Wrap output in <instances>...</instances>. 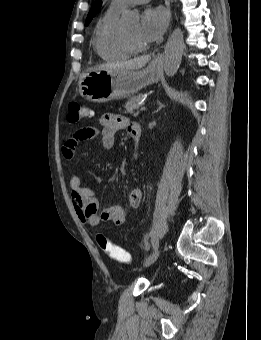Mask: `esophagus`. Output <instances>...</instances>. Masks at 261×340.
<instances>
[{"label":"esophagus","instance_id":"esophagus-1","mask_svg":"<svg viewBox=\"0 0 261 340\" xmlns=\"http://www.w3.org/2000/svg\"><path fill=\"white\" fill-rule=\"evenodd\" d=\"M165 5L166 7L168 8L169 12H170V0H165ZM163 59V53H158L156 56H155V61H161Z\"/></svg>","mask_w":261,"mask_h":340}]
</instances>
